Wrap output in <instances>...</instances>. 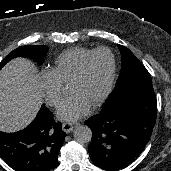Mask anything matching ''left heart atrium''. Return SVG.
<instances>
[{"label": "left heart atrium", "mask_w": 171, "mask_h": 171, "mask_svg": "<svg viewBox=\"0 0 171 171\" xmlns=\"http://www.w3.org/2000/svg\"><path fill=\"white\" fill-rule=\"evenodd\" d=\"M90 111V105L79 94H70L67 96L57 112L60 120L74 121L85 116Z\"/></svg>", "instance_id": "39dd6f15"}]
</instances>
